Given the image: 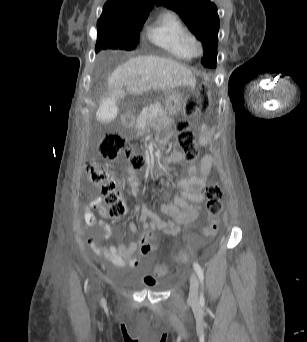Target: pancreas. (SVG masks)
I'll return each mask as SVG.
<instances>
[{"label":"pancreas","mask_w":307,"mask_h":342,"mask_svg":"<svg viewBox=\"0 0 307 342\" xmlns=\"http://www.w3.org/2000/svg\"><path fill=\"white\" fill-rule=\"evenodd\" d=\"M165 114L164 106L161 102H156V104H151L150 108L141 112L139 116H137L135 128L142 132L144 128H146L147 120L149 119H161Z\"/></svg>","instance_id":"1"}]
</instances>
